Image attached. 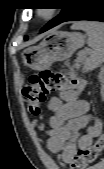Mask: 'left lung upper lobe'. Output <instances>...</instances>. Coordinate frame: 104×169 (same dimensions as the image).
<instances>
[{
	"instance_id": "1",
	"label": "left lung upper lobe",
	"mask_w": 104,
	"mask_h": 169,
	"mask_svg": "<svg viewBox=\"0 0 104 169\" xmlns=\"http://www.w3.org/2000/svg\"><path fill=\"white\" fill-rule=\"evenodd\" d=\"M78 1L79 0H68V7L62 8L61 13L53 20H51L49 23H47L42 29L48 30L62 23L76 9L78 5Z\"/></svg>"
}]
</instances>
